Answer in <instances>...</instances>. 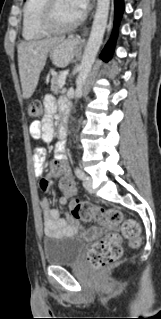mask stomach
Returning a JSON list of instances; mask_svg holds the SVG:
<instances>
[{"instance_id": "0dacf381", "label": "stomach", "mask_w": 161, "mask_h": 319, "mask_svg": "<svg viewBox=\"0 0 161 319\" xmlns=\"http://www.w3.org/2000/svg\"><path fill=\"white\" fill-rule=\"evenodd\" d=\"M76 45L77 42L73 39H68L62 43L55 45L50 50V57L52 62L58 67L67 65L74 57Z\"/></svg>"}]
</instances>
